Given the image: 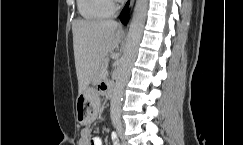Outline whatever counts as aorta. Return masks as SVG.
Here are the masks:
<instances>
[{
  "instance_id": "762f6f07",
  "label": "aorta",
  "mask_w": 243,
  "mask_h": 145,
  "mask_svg": "<svg viewBox=\"0 0 243 145\" xmlns=\"http://www.w3.org/2000/svg\"><path fill=\"white\" fill-rule=\"evenodd\" d=\"M147 9L148 0H136L132 21L127 35L124 54L121 58V63L110 103L111 119L114 122L120 121L121 102L124 89L130 75L131 67L137 56L138 47L146 21Z\"/></svg>"
}]
</instances>
